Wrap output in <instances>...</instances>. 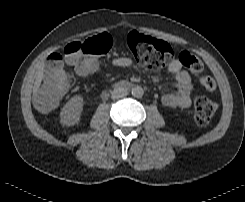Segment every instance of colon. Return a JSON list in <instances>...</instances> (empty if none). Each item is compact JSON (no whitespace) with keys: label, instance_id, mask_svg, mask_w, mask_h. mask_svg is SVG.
Listing matches in <instances>:
<instances>
[{"label":"colon","instance_id":"5ec220e1","mask_svg":"<svg viewBox=\"0 0 245 202\" xmlns=\"http://www.w3.org/2000/svg\"><path fill=\"white\" fill-rule=\"evenodd\" d=\"M113 38L102 33L93 36L83 43L72 42L63 48V55L54 53L48 58V66L44 75L41 98L51 109L69 90L71 85V72L64 68V63L71 66L76 72L81 73L89 66L88 54H105L110 49ZM129 53L135 63L151 71H160L174 59H179L182 65L194 74L203 72V63L188 52L176 53L165 41L138 32L127 35ZM199 82L208 92L216 89L215 81L210 76H200ZM218 110V105L211 99L202 97L196 100L194 114L195 120L200 125L210 122Z\"/></svg>","mask_w":245,"mask_h":202}]
</instances>
